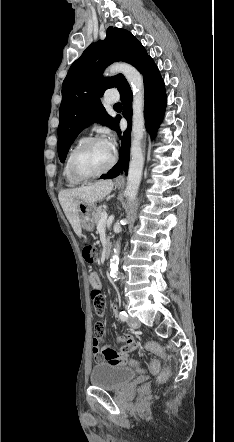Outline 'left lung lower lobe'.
<instances>
[{
  "label": "left lung lower lobe",
  "mask_w": 234,
  "mask_h": 442,
  "mask_svg": "<svg viewBox=\"0 0 234 442\" xmlns=\"http://www.w3.org/2000/svg\"><path fill=\"white\" fill-rule=\"evenodd\" d=\"M144 78L145 88V126L150 134L153 136L157 130L166 107V95L164 82L160 76L159 70L155 65L153 59L149 56L143 64L141 71ZM121 94V101L123 103V116L128 121V128L121 136L118 129V134L121 139L120 160L109 171L108 174L101 176V179L115 178L124 170L127 174L129 163V148L131 141V126H132V91L129 85H125L119 90ZM120 117H118V122Z\"/></svg>",
  "instance_id": "1"
}]
</instances>
